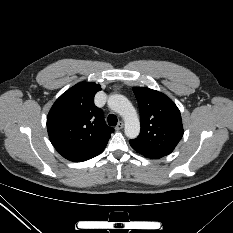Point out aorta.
I'll use <instances>...</instances> for the list:
<instances>
[{
	"label": "aorta",
	"instance_id": "762f6f07",
	"mask_svg": "<svg viewBox=\"0 0 233 233\" xmlns=\"http://www.w3.org/2000/svg\"><path fill=\"white\" fill-rule=\"evenodd\" d=\"M108 106L123 117L125 135L130 139L136 138L140 133V121L131 102L125 96L115 94L109 97Z\"/></svg>",
	"mask_w": 233,
	"mask_h": 233
}]
</instances>
